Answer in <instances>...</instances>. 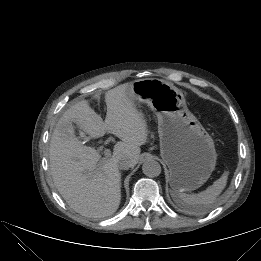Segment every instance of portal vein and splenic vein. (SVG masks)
Segmentation results:
<instances>
[{"label":"portal vein and splenic vein","mask_w":261,"mask_h":261,"mask_svg":"<svg viewBox=\"0 0 261 261\" xmlns=\"http://www.w3.org/2000/svg\"><path fill=\"white\" fill-rule=\"evenodd\" d=\"M104 155H105L106 158L109 157L111 155V151L109 149H105Z\"/></svg>","instance_id":"1"}]
</instances>
